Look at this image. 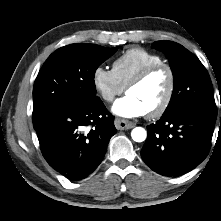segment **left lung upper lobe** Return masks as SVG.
<instances>
[{"label":"left lung upper lobe","instance_id":"5c2ea615","mask_svg":"<svg viewBox=\"0 0 221 221\" xmlns=\"http://www.w3.org/2000/svg\"><path fill=\"white\" fill-rule=\"evenodd\" d=\"M152 47L167 55L174 76L173 94L163 115L194 108L216 117L212 83L200 60L175 42L156 41Z\"/></svg>","mask_w":221,"mask_h":221}]
</instances>
